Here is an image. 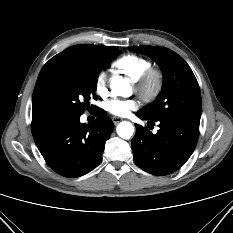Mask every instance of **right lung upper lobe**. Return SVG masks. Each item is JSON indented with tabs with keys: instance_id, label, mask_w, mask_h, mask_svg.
Returning a JSON list of instances; mask_svg holds the SVG:
<instances>
[{
	"instance_id": "cb5924a9",
	"label": "right lung upper lobe",
	"mask_w": 233,
	"mask_h": 233,
	"mask_svg": "<svg viewBox=\"0 0 233 233\" xmlns=\"http://www.w3.org/2000/svg\"><path fill=\"white\" fill-rule=\"evenodd\" d=\"M106 46H97V45H91V44H80V45H75L71 46L67 49H65L63 52L57 54L53 58H51L42 68V70L39 73L34 93H33V98H32V123H36L42 119H45L46 117L41 113L39 104H38V91H39V85L41 78L44 74V72L52 66L54 63L57 61L71 55H76V54H91L95 53L97 51L102 50Z\"/></svg>"
}]
</instances>
